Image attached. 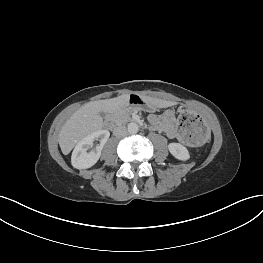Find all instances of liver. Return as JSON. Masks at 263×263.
<instances>
[{"mask_svg": "<svg viewBox=\"0 0 263 263\" xmlns=\"http://www.w3.org/2000/svg\"><path fill=\"white\" fill-rule=\"evenodd\" d=\"M158 108H167L177 104L174 101L143 97ZM129 94H124L112 99L88 102L79 108L62 126L58 141L64 155L71 152L74 146L87 135L101 130L104 126L100 113H113L125 109Z\"/></svg>", "mask_w": 263, "mask_h": 263, "instance_id": "obj_1", "label": "liver"}]
</instances>
